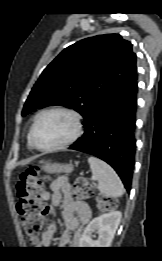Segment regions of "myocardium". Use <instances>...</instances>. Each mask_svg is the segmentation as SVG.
I'll use <instances>...</instances> for the list:
<instances>
[{
    "label": "myocardium",
    "mask_w": 162,
    "mask_h": 261,
    "mask_svg": "<svg viewBox=\"0 0 162 261\" xmlns=\"http://www.w3.org/2000/svg\"><path fill=\"white\" fill-rule=\"evenodd\" d=\"M52 112H61V113H65V114L69 115L73 120L74 130H73L72 134L64 141H62L56 145L50 146V147H40L35 142L36 126L42 116H44L45 114H48V113H52ZM82 130H83L82 118L77 111H75L72 108L66 107V106H52V107H49V108H46V109L40 111L36 115V117L33 121V124L31 126L30 133H29L30 144L34 149L41 151V152L57 151V150H60V149H63V148H66V147L72 145L81 136Z\"/></svg>",
    "instance_id": "f54148a6"
}]
</instances>
